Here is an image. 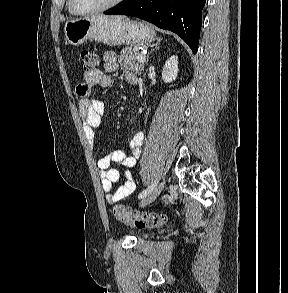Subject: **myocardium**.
<instances>
[{
	"label": "myocardium",
	"mask_w": 288,
	"mask_h": 293,
	"mask_svg": "<svg viewBox=\"0 0 288 293\" xmlns=\"http://www.w3.org/2000/svg\"><path fill=\"white\" fill-rule=\"evenodd\" d=\"M123 0H112L111 2L96 7V8H92V9H82L80 7H78L75 3V0H69V5L71 7V9L76 13V14H80V15H84V14H92V13H97V12H102V11H106L110 8H113L115 6H117L118 4H120Z\"/></svg>",
	"instance_id": "1"
}]
</instances>
